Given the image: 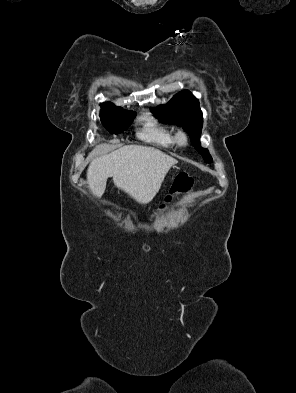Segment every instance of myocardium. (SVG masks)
Wrapping results in <instances>:
<instances>
[{"instance_id":"1","label":"myocardium","mask_w":296,"mask_h":393,"mask_svg":"<svg viewBox=\"0 0 296 393\" xmlns=\"http://www.w3.org/2000/svg\"><path fill=\"white\" fill-rule=\"evenodd\" d=\"M175 140L176 143L183 146L186 145L189 141V136L188 134L183 131V130H179L176 134H175Z\"/></svg>"}]
</instances>
